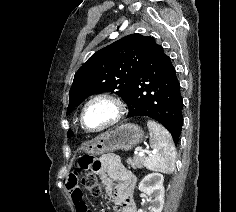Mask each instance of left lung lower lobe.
<instances>
[{"label":"left lung lower lobe","mask_w":236,"mask_h":212,"mask_svg":"<svg viewBox=\"0 0 236 212\" xmlns=\"http://www.w3.org/2000/svg\"><path fill=\"white\" fill-rule=\"evenodd\" d=\"M124 102L127 117L148 116L158 121L178 143L183 125L180 83L170 57L153 37Z\"/></svg>","instance_id":"left-lung-lower-lobe-1"}]
</instances>
